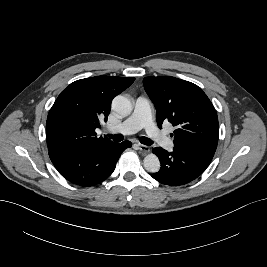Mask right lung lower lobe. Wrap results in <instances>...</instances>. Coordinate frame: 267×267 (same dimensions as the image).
Here are the masks:
<instances>
[{
	"label": "right lung lower lobe",
	"mask_w": 267,
	"mask_h": 267,
	"mask_svg": "<svg viewBox=\"0 0 267 267\" xmlns=\"http://www.w3.org/2000/svg\"><path fill=\"white\" fill-rule=\"evenodd\" d=\"M131 143H110L73 151L49 152L59 173L79 186H93L108 178L114 171L121 153Z\"/></svg>",
	"instance_id": "obj_1"
}]
</instances>
